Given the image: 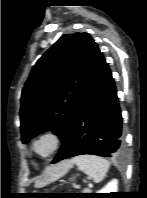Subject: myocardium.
<instances>
[{
  "label": "myocardium",
  "mask_w": 147,
  "mask_h": 198,
  "mask_svg": "<svg viewBox=\"0 0 147 198\" xmlns=\"http://www.w3.org/2000/svg\"><path fill=\"white\" fill-rule=\"evenodd\" d=\"M49 140L51 142L50 150L45 153L41 154L39 153L37 146L38 144L43 140ZM62 145V138L60 134L52 129H48L45 131L40 132L32 141L31 148L33 153L40 159H49L52 157L55 153H57Z\"/></svg>",
  "instance_id": "f54148a6"
}]
</instances>
